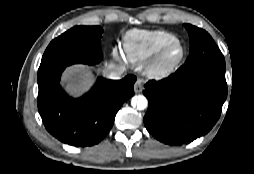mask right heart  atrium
Returning <instances> with one entry per match:
<instances>
[{"label": "right heart atrium", "mask_w": 254, "mask_h": 174, "mask_svg": "<svg viewBox=\"0 0 254 174\" xmlns=\"http://www.w3.org/2000/svg\"><path fill=\"white\" fill-rule=\"evenodd\" d=\"M113 54H114L115 56H118V55H119V52H118L117 48H114Z\"/></svg>", "instance_id": "obj_1"}]
</instances>
